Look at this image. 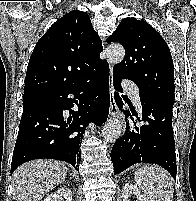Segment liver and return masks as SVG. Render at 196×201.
Returning a JSON list of instances; mask_svg holds the SVG:
<instances>
[{"mask_svg":"<svg viewBox=\"0 0 196 201\" xmlns=\"http://www.w3.org/2000/svg\"><path fill=\"white\" fill-rule=\"evenodd\" d=\"M67 175V167L59 161L32 160L19 166L12 175L15 201H39Z\"/></svg>","mask_w":196,"mask_h":201,"instance_id":"obj_1","label":"liver"}]
</instances>
